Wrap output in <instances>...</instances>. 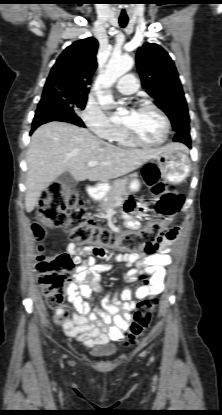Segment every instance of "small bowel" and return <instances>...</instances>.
<instances>
[{
    "label": "small bowel",
    "instance_id": "obj_1",
    "mask_svg": "<svg viewBox=\"0 0 222 415\" xmlns=\"http://www.w3.org/2000/svg\"><path fill=\"white\" fill-rule=\"evenodd\" d=\"M133 212L134 205L128 204L127 226L138 228L139 222L133 218ZM179 231L177 226L171 228L159 244V252L153 254H96L69 243L67 251L73 256L77 268L68 287V300L76 314L69 316L68 306L54 312L55 322L64 334L87 347L122 341L130 323V314L135 308L132 299L162 293L166 267L172 263L170 245ZM100 256L126 264L129 268L124 277L128 284L134 283L140 275L147 277V282L135 289L127 287L120 292L108 293L102 299L101 307L96 306L91 300L97 288V278L100 273L112 268L110 263L98 262Z\"/></svg>",
    "mask_w": 222,
    "mask_h": 415
}]
</instances>
